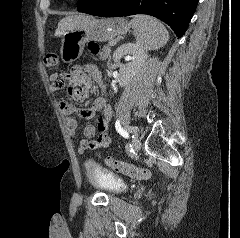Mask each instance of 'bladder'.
<instances>
[{"label":"bladder","instance_id":"1","mask_svg":"<svg viewBox=\"0 0 240 238\" xmlns=\"http://www.w3.org/2000/svg\"><path fill=\"white\" fill-rule=\"evenodd\" d=\"M83 168L88 182L106 193L118 194L126 188L124 181L119 176L103 168L91 159L84 161Z\"/></svg>","mask_w":240,"mask_h":238}]
</instances>
